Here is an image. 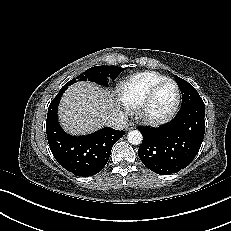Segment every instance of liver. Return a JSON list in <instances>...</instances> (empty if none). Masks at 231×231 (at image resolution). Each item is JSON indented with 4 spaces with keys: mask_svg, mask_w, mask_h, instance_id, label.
<instances>
[{
    "mask_svg": "<svg viewBox=\"0 0 231 231\" xmlns=\"http://www.w3.org/2000/svg\"><path fill=\"white\" fill-rule=\"evenodd\" d=\"M114 91L91 82L71 85L61 98L59 120L70 134L92 133L104 125L109 116L119 112Z\"/></svg>",
    "mask_w": 231,
    "mask_h": 231,
    "instance_id": "1",
    "label": "liver"
}]
</instances>
